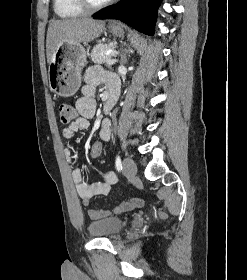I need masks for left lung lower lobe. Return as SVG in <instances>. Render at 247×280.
Segmentation results:
<instances>
[{
  "instance_id": "0a47b994",
  "label": "left lung lower lobe",
  "mask_w": 247,
  "mask_h": 280,
  "mask_svg": "<svg viewBox=\"0 0 247 280\" xmlns=\"http://www.w3.org/2000/svg\"><path fill=\"white\" fill-rule=\"evenodd\" d=\"M161 0H120L94 15L95 19H119L140 32L153 35L157 8Z\"/></svg>"
}]
</instances>
